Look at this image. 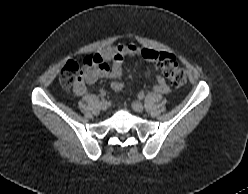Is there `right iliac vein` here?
Instances as JSON below:
<instances>
[{
    "label": "right iliac vein",
    "mask_w": 248,
    "mask_h": 194,
    "mask_svg": "<svg viewBox=\"0 0 248 194\" xmlns=\"http://www.w3.org/2000/svg\"><path fill=\"white\" fill-rule=\"evenodd\" d=\"M100 107L103 111H106L108 109V103L107 101L103 100V101H100Z\"/></svg>",
    "instance_id": "63e3f726"
}]
</instances>
